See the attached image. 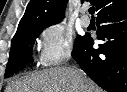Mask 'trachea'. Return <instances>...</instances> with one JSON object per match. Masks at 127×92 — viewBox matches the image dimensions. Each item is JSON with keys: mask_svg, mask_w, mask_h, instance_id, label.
Segmentation results:
<instances>
[{"mask_svg": "<svg viewBox=\"0 0 127 92\" xmlns=\"http://www.w3.org/2000/svg\"><path fill=\"white\" fill-rule=\"evenodd\" d=\"M94 12H95L94 7H90V8H89V13H90L91 15H93V14H94Z\"/></svg>", "mask_w": 127, "mask_h": 92, "instance_id": "trachea-1", "label": "trachea"}]
</instances>
